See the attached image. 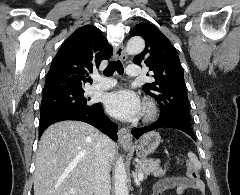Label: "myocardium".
Segmentation results:
<instances>
[{
	"mask_svg": "<svg viewBox=\"0 0 240 195\" xmlns=\"http://www.w3.org/2000/svg\"><path fill=\"white\" fill-rule=\"evenodd\" d=\"M157 111V106L153 100H144L141 111V122L148 123L154 120L157 116Z\"/></svg>",
	"mask_w": 240,
	"mask_h": 195,
	"instance_id": "f54148a6",
	"label": "myocardium"
}]
</instances>
